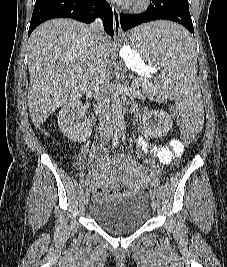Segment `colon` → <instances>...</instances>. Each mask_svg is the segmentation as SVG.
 Returning a JSON list of instances; mask_svg holds the SVG:
<instances>
[{"label": "colon", "instance_id": "1", "mask_svg": "<svg viewBox=\"0 0 227 267\" xmlns=\"http://www.w3.org/2000/svg\"><path fill=\"white\" fill-rule=\"evenodd\" d=\"M167 112L170 113L172 116V119L175 120V125H180L181 127V139L185 140V144H188V146H195L197 144V139H195V135L192 130L187 129V125L183 123L182 116L180 115V111H177V105L176 104H168L167 105Z\"/></svg>", "mask_w": 227, "mask_h": 267}]
</instances>
